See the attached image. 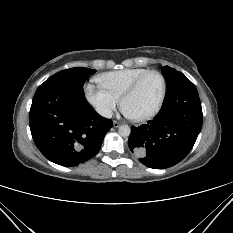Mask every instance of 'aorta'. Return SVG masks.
Instances as JSON below:
<instances>
[{
  "label": "aorta",
  "instance_id": "1",
  "mask_svg": "<svg viewBox=\"0 0 233 233\" xmlns=\"http://www.w3.org/2000/svg\"><path fill=\"white\" fill-rule=\"evenodd\" d=\"M118 132L122 137H128L130 135L131 129L128 125H122L119 127Z\"/></svg>",
  "mask_w": 233,
  "mask_h": 233
}]
</instances>
